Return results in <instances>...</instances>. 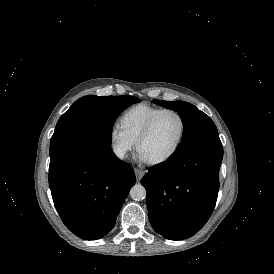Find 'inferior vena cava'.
I'll list each match as a JSON object with an SVG mask.
<instances>
[{
    "mask_svg": "<svg viewBox=\"0 0 274 274\" xmlns=\"http://www.w3.org/2000/svg\"><path fill=\"white\" fill-rule=\"evenodd\" d=\"M114 152H115V154L117 155V157H119V158H121V159L124 158L125 153H126V151H125L123 148H115V149H114Z\"/></svg>",
    "mask_w": 274,
    "mask_h": 274,
    "instance_id": "obj_1",
    "label": "inferior vena cava"
}]
</instances>
